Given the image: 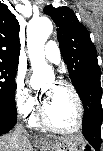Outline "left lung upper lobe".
Returning a JSON list of instances; mask_svg holds the SVG:
<instances>
[{"mask_svg":"<svg viewBox=\"0 0 103 151\" xmlns=\"http://www.w3.org/2000/svg\"><path fill=\"white\" fill-rule=\"evenodd\" d=\"M45 14L55 22L60 51L77 92L81 89L86 76L101 74L97 51L87 29L78 21L68 7L44 8Z\"/></svg>","mask_w":103,"mask_h":151,"instance_id":"5c2ea615","label":"left lung upper lobe"}]
</instances>
